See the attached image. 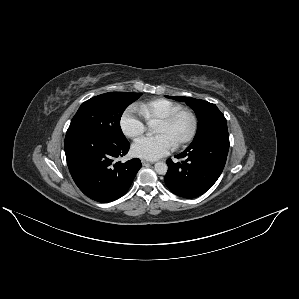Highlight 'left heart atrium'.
I'll list each match as a JSON object with an SVG mask.
<instances>
[{
	"label": "left heart atrium",
	"instance_id": "1",
	"mask_svg": "<svg viewBox=\"0 0 299 299\" xmlns=\"http://www.w3.org/2000/svg\"><path fill=\"white\" fill-rule=\"evenodd\" d=\"M175 145L166 135L147 136L136 141L132 146L135 156L147 160H157L169 154Z\"/></svg>",
	"mask_w": 299,
	"mask_h": 299
}]
</instances>
